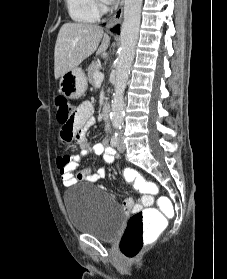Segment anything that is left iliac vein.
<instances>
[{"instance_id":"obj_1","label":"left iliac vein","mask_w":227,"mask_h":279,"mask_svg":"<svg viewBox=\"0 0 227 279\" xmlns=\"http://www.w3.org/2000/svg\"><path fill=\"white\" fill-rule=\"evenodd\" d=\"M117 149L121 153H123L125 151V144L123 142V136H120L119 139H118Z\"/></svg>"}]
</instances>
